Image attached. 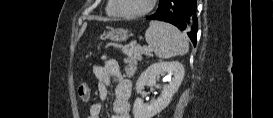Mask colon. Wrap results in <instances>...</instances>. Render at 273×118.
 I'll list each match as a JSON object with an SVG mask.
<instances>
[{
  "label": "colon",
  "mask_w": 273,
  "mask_h": 118,
  "mask_svg": "<svg viewBox=\"0 0 273 118\" xmlns=\"http://www.w3.org/2000/svg\"><path fill=\"white\" fill-rule=\"evenodd\" d=\"M77 91H78L80 98L86 97L88 94V87L86 84L81 83V84H79Z\"/></svg>",
  "instance_id": "colon-1"
}]
</instances>
